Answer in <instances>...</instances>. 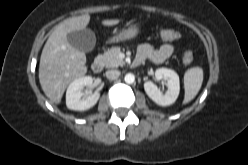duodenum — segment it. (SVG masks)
I'll list each match as a JSON object with an SVG mask.
<instances>
[{
  "mask_svg": "<svg viewBox=\"0 0 248 165\" xmlns=\"http://www.w3.org/2000/svg\"><path fill=\"white\" fill-rule=\"evenodd\" d=\"M144 59L142 57L137 56L134 62L135 66H139L143 63ZM104 67V60L102 58H96L92 63V71L94 73H100Z\"/></svg>",
  "mask_w": 248,
  "mask_h": 165,
  "instance_id": "1",
  "label": "duodenum"
}]
</instances>
